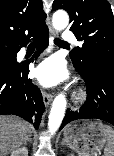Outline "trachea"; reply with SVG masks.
Returning <instances> with one entry per match:
<instances>
[{
  "mask_svg": "<svg viewBox=\"0 0 114 156\" xmlns=\"http://www.w3.org/2000/svg\"><path fill=\"white\" fill-rule=\"evenodd\" d=\"M54 42H55L56 44H66L65 41H63V40H61V39H58V38L54 39Z\"/></svg>",
  "mask_w": 114,
  "mask_h": 156,
  "instance_id": "3493384b",
  "label": "trachea"
}]
</instances>
